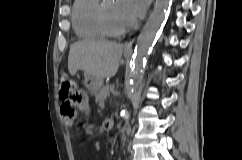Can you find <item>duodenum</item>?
<instances>
[{
	"instance_id": "obj_1",
	"label": "duodenum",
	"mask_w": 242,
	"mask_h": 160,
	"mask_svg": "<svg viewBox=\"0 0 242 160\" xmlns=\"http://www.w3.org/2000/svg\"><path fill=\"white\" fill-rule=\"evenodd\" d=\"M114 127V121L112 119H105L103 122V129L110 131Z\"/></svg>"
}]
</instances>
